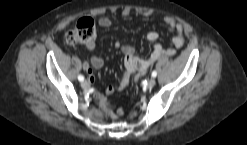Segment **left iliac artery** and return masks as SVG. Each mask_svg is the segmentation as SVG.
Here are the masks:
<instances>
[{
  "mask_svg": "<svg viewBox=\"0 0 247 145\" xmlns=\"http://www.w3.org/2000/svg\"><path fill=\"white\" fill-rule=\"evenodd\" d=\"M157 76V72L156 71H153L152 72V77H156Z\"/></svg>",
  "mask_w": 247,
  "mask_h": 145,
  "instance_id": "1",
  "label": "left iliac artery"
}]
</instances>
